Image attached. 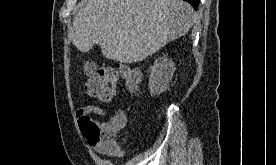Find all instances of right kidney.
Here are the masks:
<instances>
[{
  "instance_id": "obj_1",
  "label": "right kidney",
  "mask_w": 276,
  "mask_h": 165,
  "mask_svg": "<svg viewBox=\"0 0 276 165\" xmlns=\"http://www.w3.org/2000/svg\"><path fill=\"white\" fill-rule=\"evenodd\" d=\"M175 72V64L172 59H168L166 55L155 61L154 65L151 67V72L149 76V90L151 95L163 93L172 80L173 74Z\"/></svg>"
}]
</instances>
